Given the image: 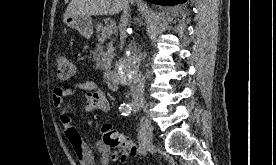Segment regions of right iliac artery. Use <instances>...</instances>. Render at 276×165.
Masks as SVG:
<instances>
[{
	"label": "right iliac artery",
	"instance_id": "obj_1",
	"mask_svg": "<svg viewBox=\"0 0 276 165\" xmlns=\"http://www.w3.org/2000/svg\"><path fill=\"white\" fill-rule=\"evenodd\" d=\"M119 110L121 112V115H129L132 111V107L129 104L123 103L119 107ZM139 141H140V153H144L146 151V144H147V131L145 127L144 120L142 119L140 121V126H139Z\"/></svg>",
	"mask_w": 276,
	"mask_h": 165
}]
</instances>
